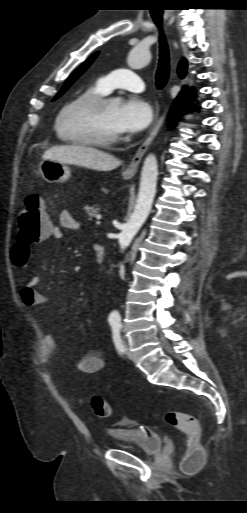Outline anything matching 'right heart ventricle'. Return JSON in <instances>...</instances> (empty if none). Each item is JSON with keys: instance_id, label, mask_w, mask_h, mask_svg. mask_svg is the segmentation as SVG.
Returning a JSON list of instances; mask_svg holds the SVG:
<instances>
[{"instance_id": "e07e8e85", "label": "right heart ventricle", "mask_w": 247, "mask_h": 513, "mask_svg": "<svg viewBox=\"0 0 247 513\" xmlns=\"http://www.w3.org/2000/svg\"><path fill=\"white\" fill-rule=\"evenodd\" d=\"M104 94H105V92L100 88V86L98 84H95V85L89 86L88 88L83 90L74 100L84 97V96H87V95H104ZM58 135L62 140L66 141V142L74 143L65 134L58 132Z\"/></svg>"}]
</instances>
